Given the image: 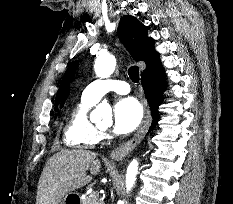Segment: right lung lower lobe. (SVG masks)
<instances>
[{
    "label": "right lung lower lobe",
    "instance_id": "1",
    "mask_svg": "<svg viewBox=\"0 0 233 204\" xmlns=\"http://www.w3.org/2000/svg\"><path fill=\"white\" fill-rule=\"evenodd\" d=\"M141 83L146 95V98L149 102L153 122L149 131H152L158 121L159 111L158 106L162 103V92L166 89V78L165 72L162 65L141 74Z\"/></svg>",
    "mask_w": 233,
    "mask_h": 204
}]
</instances>
